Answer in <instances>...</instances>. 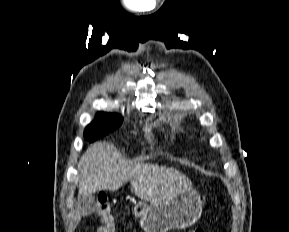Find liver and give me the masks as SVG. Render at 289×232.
I'll return each mask as SVG.
<instances>
[{
	"mask_svg": "<svg viewBox=\"0 0 289 232\" xmlns=\"http://www.w3.org/2000/svg\"><path fill=\"white\" fill-rule=\"evenodd\" d=\"M118 158L116 147L110 143H94L87 149L78 164V199L102 190L116 191L128 181L135 195L151 204L192 189L191 180L175 169L144 163L121 165Z\"/></svg>",
	"mask_w": 289,
	"mask_h": 232,
	"instance_id": "6515ba94",
	"label": "liver"
}]
</instances>
